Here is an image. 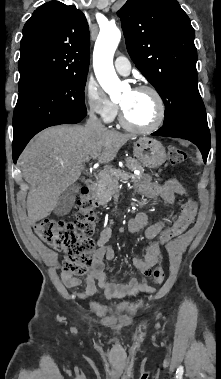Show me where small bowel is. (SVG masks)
Returning a JSON list of instances; mask_svg holds the SVG:
<instances>
[{
    "label": "small bowel",
    "instance_id": "obj_1",
    "mask_svg": "<svg viewBox=\"0 0 221 379\" xmlns=\"http://www.w3.org/2000/svg\"><path fill=\"white\" fill-rule=\"evenodd\" d=\"M137 191L147 198H161L166 203L173 205L176 195L185 196L186 191L178 180L170 178L163 183H152L148 177H144L136 186ZM169 221V216L162 220L148 224V216L143 213H137L128 222V230L131 233L144 231L148 240H154L162 231L165 224ZM114 222L110 220L107 226L101 231L97 242V249L93 254L91 267L83 277V280L70 273L64 272L61 275L64 285L68 288H75L85 284V291L77 293L81 299H90L97 293L100 288L107 299H132L141 294L151 292L147 285L148 277L151 275V269L158 262L160 247L156 241L150 242L143 250L142 258L133 259L135 268L140 272L142 280L131 277L127 283L109 278L105 269L103 260L112 261L115 258L114 249L108 244L112 235V226Z\"/></svg>",
    "mask_w": 221,
    "mask_h": 379
}]
</instances>
